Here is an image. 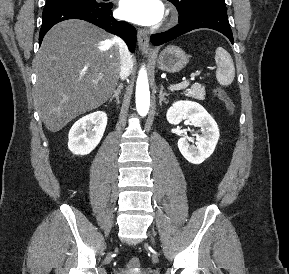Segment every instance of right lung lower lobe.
<instances>
[{
	"label": "right lung lower lobe",
	"instance_id": "obj_1",
	"mask_svg": "<svg viewBox=\"0 0 289 274\" xmlns=\"http://www.w3.org/2000/svg\"><path fill=\"white\" fill-rule=\"evenodd\" d=\"M111 3H62L47 6L43 10L39 44L44 35L55 24L68 19H82L97 25L106 31L121 37L129 50L134 52L136 45V29L124 21L112 17Z\"/></svg>",
	"mask_w": 289,
	"mask_h": 274
}]
</instances>
